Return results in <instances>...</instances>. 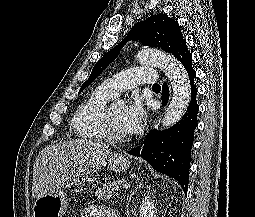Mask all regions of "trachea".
<instances>
[{
  "mask_svg": "<svg viewBox=\"0 0 255 217\" xmlns=\"http://www.w3.org/2000/svg\"><path fill=\"white\" fill-rule=\"evenodd\" d=\"M161 87H160V85L159 84H154L153 85V89H160Z\"/></svg>",
  "mask_w": 255,
  "mask_h": 217,
  "instance_id": "trachea-1",
  "label": "trachea"
}]
</instances>
